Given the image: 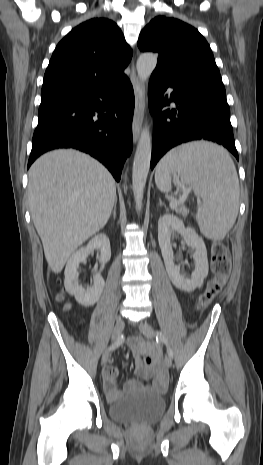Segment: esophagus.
<instances>
[{
  "mask_svg": "<svg viewBox=\"0 0 263 465\" xmlns=\"http://www.w3.org/2000/svg\"><path fill=\"white\" fill-rule=\"evenodd\" d=\"M130 79H131V82L134 88V94H135V108H134V116H133V122H132V133H133V141L134 143H136L139 138L141 123H142L143 114H144L145 95H144L143 88L141 87V84L137 77L134 63L132 65Z\"/></svg>",
  "mask_w": 263,
  "mask_h": 465,
  "instance_id": "34e87169",
  "label": "esophagus"
}]
</instances>
